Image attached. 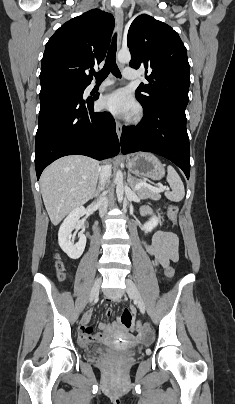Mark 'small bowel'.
I'll use <instances>...</instances> for the list:
<instances>
[{
  "label": "small bowel",
  "mask_w": 235,
  "mask_h": 404,
  "mask_svg": "<svg viewBox=\"0 0 235 404\" xmlns=\"http://www.w3.org/2000/svg\"><path fill=\"white\" fill-rule=\"evenodd\" d=\"M142 213L148 217L152 212L145 208ZM178 239L171 232L158 231L154 234L151 245H145L147 252L153 257L154 262L161 268H167L171 263L177 262L179 258ZM131 311V310H130ZM112 310L107 309L106 316L110 317ZM90 314H86L79 324L80 340L83 344L90 342L110 344L114 339L123 333L118 322L111 324L101 323L99 332L93 334V326L88 323Z\"/></svg>",
  "instance_id": "c3829d8e"
}]
</instances>
